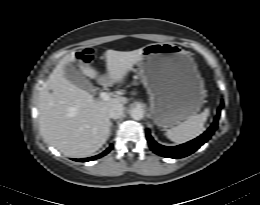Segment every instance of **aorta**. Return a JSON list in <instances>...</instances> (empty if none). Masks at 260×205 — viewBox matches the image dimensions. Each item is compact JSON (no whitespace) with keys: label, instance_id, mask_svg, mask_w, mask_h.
Returning a JSON list of instances; mask_svg holds the SVG:
<instances>
[{"label":"aorta","instance_id":"1","mask_svg":"<svg viewBox=\"0 0 260 205\" xmlns=\"http://www.w3.org/2000/svg\"><path fill=\"white\" fill-rule=\"evenodd\" d=\"M130 116L134 120H141L144 117V110L140 107H135L130 110Z\"/></svg>","mask_w":260,"mask_h":205}]
</instances>
